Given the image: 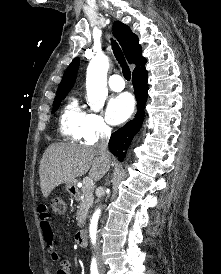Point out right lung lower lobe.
<instances>
[{
	"label": "right lung lower lobe",
	"mask_w": 221,
	"mask_h": 274,
	"mask_svg": "<svg viewBox=\"0 0 221 274\" xmlns=\"http://www.w3.org/2000/svg\"><path fill=\"white\" fill-rule=\"evenodd\" d=\"M147 80L148 74L146 69L133 74L132 83L134 85L138 112L135 116V119L129 121L125 126L114 132L109 140L110 151L115 156H117L120 161H123L126 154L125 150H127L133 137L136 135L142 125L144 118V108L147 99Z\"/></svg>",
	"instance_id": "right-lung-lower-lobe-1"
}]
</instances>
